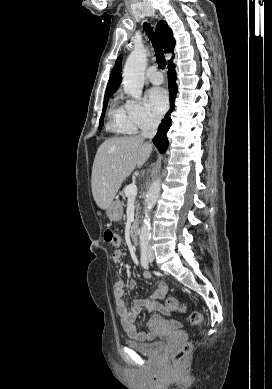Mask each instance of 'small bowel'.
<instances>
[{"instance_id": "obj_1", "label": "small bowel", "mask_w": 272, "mask_h": 389, "mask_svg": "<svg viewBox=\"0 0 272 389\" xmlns=\"http://www.w3.org/2000/svg\"><path fill=\"white\" fill-rule=\"evenodd\" d=\"M122 258H123L122 251L116 250L113 252L112 260L115 263L120 262ZM144 276L146 278L150 277L148 273H145ZM136 286L137 283L135 280H131L129 282L130 289H135ZM113 290H114L116 308H117L118 315L120 317L121 325L124 331L126 332V334L128 335V337L137 341L153 340L155 337L153 328L157 323V321L159 320L158 315H153L149 319L148 326L150 329L147 332L138 331L134 323L137 320L141 311L143 310L156 311L162 314H166L165 307H163L160 304V300L163 299L168 293L169 290L168 285L164 282L159 283L156 289L149 297L135 299L133 300L130 306H128L127 303L125 302V284L123 280H118L114 284ZM173 324H175L174 321Z\"/></svg>"}]
</instances>
